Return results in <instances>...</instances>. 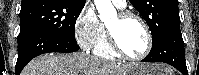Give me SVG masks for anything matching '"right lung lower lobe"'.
I'll list each match as a JSON object with an SVG mask.
<instances>
[{"instance_id":"obj_1","label":"right lung lower lobe","mask_w":199,"mask_h":75,"mask_svg":"<svg viewBox=\"0 0 199 75\" xmlns=\"http://www.w3.org/2000/svg\"><path fill=\"white\" fill-rule=\"evenodd\" d=\"M17 42L16 75H19L26 64L38 55L50 52L70 53L79 49L77 43H70L41 31H31L24 35H18Z\"/></svg>"}]
</instances>
